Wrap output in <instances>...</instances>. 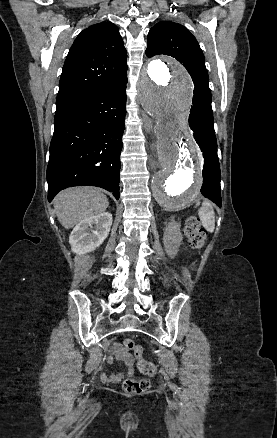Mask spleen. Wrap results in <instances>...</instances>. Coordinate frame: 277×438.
<instances>
[{
    "label": "spleen",
    "mask_w": 277,
    "mask_h": 438,
    "mask_svg": "<svg viewBox=\"0 0 277 438\" xmlns=\"http://www.w3.org/2000/svg\"><path fill=\"white\" fill-rule=\"evenodd\" d=\"M199 218L202 222L203 228H205L207 232H214L215 216L210 202H203L202 208H200Z\"/></svg>",
    "instance_id": "obj_1"
}]
</instances>
